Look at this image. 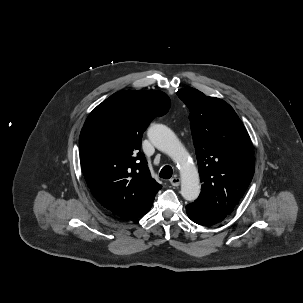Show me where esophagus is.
Here are the masks:
<instances>
[{
    "label": "esophagus",
    "instance_id": "esophagus-1",
    "mask_svg": "<svg viewBox=\"0 0 303 303\" xmlns=\"http://www.w3.org/2000/svg\"><path fill=\"white\" fill-rule=\"evenodd\" d=\"M180 182H181V180L177 176H174L173 178L170 179L171 185L175 186V187L179 186Z\"/></svg>",
    "mask_w": 303,
    "mask_h": 303
}]
</instances>
